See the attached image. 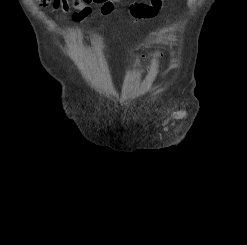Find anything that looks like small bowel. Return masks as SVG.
Listing matches in <instances>:
<instances>
[{
    "instance_id": "obj_1",
    "label": "small bowel",
    "mask_w": 247,
    "mask_h": 245,
    "mask_svg": "<svg viewBox=\"0 0 247 245\" xmlns=\"http://www.w3.org/2000/svg\"><path fill=\"white\" fill-rule=\"evenodd\" d=\"M162 1L163 0H150V2L146 4L133 3L129 8V13L136 19L154 17L157 14ZM187 1L189 6L194 5L196 2V0ZM70 3L77 9L72 15V20L73 22L78 23L90 14V5L93 3V0H53V8L55 10L60 9L61 15H65L70 9Z\"/></svg>"
}]
</instances>
